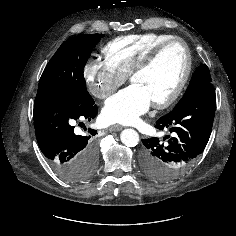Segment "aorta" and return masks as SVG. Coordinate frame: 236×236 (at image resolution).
I'll return each instance as SVG.
<instances>
[{
  "instance_id": "1",
  "label": "aorta",
  "mask_w": 236,
  "mask_h": 236,
  "mask_svg": "<svg viewBox=\"0 0 236 236\" xmlns=\"http://www.w3.org/2000/svg\"><path fill=\"white\" fill-rule=\"evenodd\" d=\"M121 142L127 147H135L139 143V135L134 129H125L120 134Z\"/></svg>"
}]
</instances>
